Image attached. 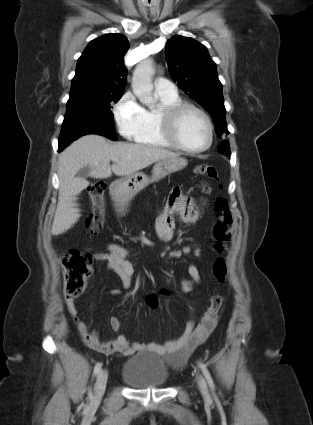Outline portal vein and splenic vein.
Instances as JSON below:
<instances>
[{
  "label": "portal vein and splenic vein",
  "mask_w": 313,
  "mask_h": 425,
  "mask_svg": "<svg viewBox=\"0 0 313 425\" xmlns=\"http://www.w3.org/2000/svg\"><path fill=\"white\" fill-rule=\"evenodd\" d=\"M113 161H114V162H118V160H117V159H113Z\"/></svg>",
  "instance_id": "18ae733b"
}]
</instances>
